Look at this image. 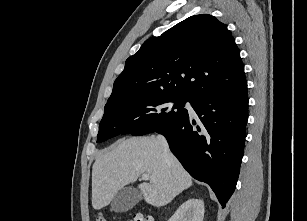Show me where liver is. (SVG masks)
Segmentation results:
<instances>
[{
    "mask_svg": "<svg viewBox=\"0 0 307 221\" xmlns=\"http://www.w3.org/2000/svg\"><path fill=\"white\" fill-rule=\"evenodd\" d=\"M142 174L155 177L138 188L144 200L161 207L192 186V178L164 143L154 136L132 137L118 142L95 160L92 168V206H107L124 186Z\"/></svg>",
    "mask_w": 307,
    "mask_h": 221,
    "instance_id": "liver-1",
    "label": "liver"
}]
</instances>
